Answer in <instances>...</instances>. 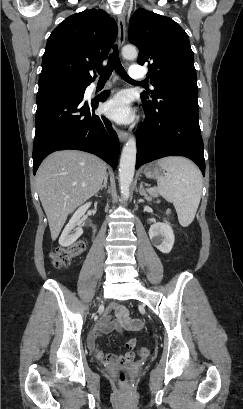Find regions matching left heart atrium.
I'll list each match as a JSON object with an SVG mask.
<instances>
[{
    "mask_svg": "<svg viewBox=\"0 0 243 409\" xmlns=\"http://www.w3.org/2000/svg\"><path fill=\"white\" fill-rule=\"evenodd\" d=\"M104 113L113 121L126 123L132 119L133 113L125 92H119L110 98L103 107Z\"/></svg>",
    "mask_w": 243,
    "mask_h": 409,
    "instance_id": "obj_1",
    "label": "left heart atrium"
}]
</instances>
